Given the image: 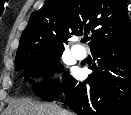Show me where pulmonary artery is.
Listing matches in <instances>:
<instances>
[{
    "label": "pulmonary artery",
    "mask_w": 131,
    "mask_h": 115,
    "mask_svg": "<svg viewBox=\"0 0 131 115\" xmlns=\"http://www.w3.org/2000/svg\"><path fill=\"white\" fill-rule=\"evenodd\" d=\"M72 53L79 60L85 58L86 56V52L79 48H72Z\"/></svg>",
    "instance_id": "1"
}]
</instances>
